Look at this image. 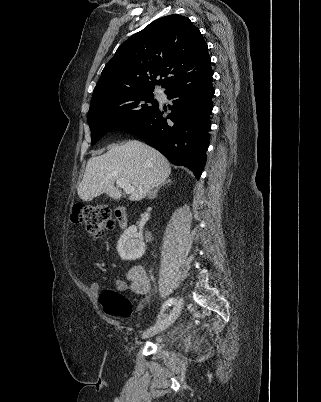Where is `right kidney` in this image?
<instances>
[{"instance_id": "1", "label": "right kidney", "mask_w": 321, "mask_h": 402, "mask_svg": "<svg viewBox=\"0 0 321 402\" xmlns=\"http://www.w3.org/2000/svg\"><path fill=\"white\" fill-rule=\"evenodd\" d=\"M117 251L123 260H136L145 253L142 233L132 225L124 231L117 243Z\"/></svg>"}]
</instances>
